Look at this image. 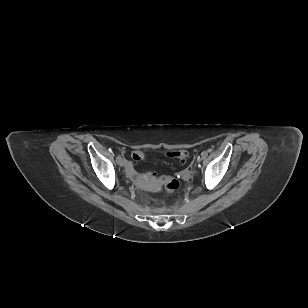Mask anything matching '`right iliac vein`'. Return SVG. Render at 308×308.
I'll list each match as a JSON object with an SVG mask.
<instances>
[{"label": "right iliac vein", "instance_id": "63e3f726", "mask_svg": "<svg viewBox=\"0 0 308 308\" xmlns=\"http://www.w3.org/2000/svg\"><path fill=\"white\" fill-rule=\"evenodd\" d=\"M118 163V165H120V166H125L126 165V160L125 159H123V158H120L119 159V161L117 162Z\"/></svg>", "mask_w": 308, "mask_h": 308}]
</instances>
